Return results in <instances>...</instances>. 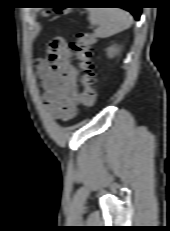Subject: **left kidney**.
<instances>
[{"mask_svg": "<svg viewBox=\"0 0 170 231\" xmlns=\"http://www.w3.org/2000/svg\"><path fill=\"white\" fill-rule=\"evenodd\" d=\"M106 51L108 57L113 58L119 52V47L117 45H113L111 47H108Z\"/></svg>", "mask_w": 170, "mask_h": 231, "instance_id": "obj_1", "label": "left kidney"}]
</instances>
